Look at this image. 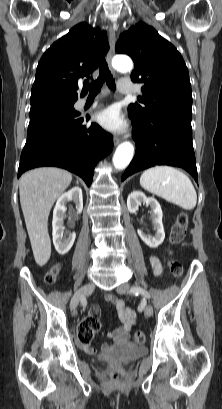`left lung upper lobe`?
I'll list each match as a JSON object with an SVG mask.
<instances>
[{
  "instance_id": "obj_1",
  "label": "left lung upper lobe",
  "mask_w": 222,
  "mask_h": 409,
  "mask_svg": "<svg viewBox=\"0 0 222 409\" xmlns=\"http://www.w3.org/2000/svg\"><path fill=\"white\" fill-rule=\"evenodd\" d=\"M116 52L131 56L135 67L133 82L143 83L142 97L128 107L129 116L137 119L178 114L192 118V94L186 64L177 49L157 31L139 22L122 33Z\"/></svg>"
}]
</instances>
